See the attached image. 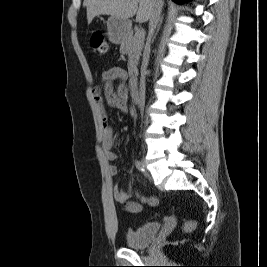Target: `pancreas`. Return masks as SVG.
<instances>
[{
  "mask_svg": "<svg viewBox=\"0 0 267 267\" xmlns=\"http://www.w3.org/2000/svg\"><path fill=\"white\" fill-rule=\"evenodd\" d=\"M143 40L138 39L132 30H130L122 39L120 53L129 57L128 72L132 76L137 72V64L142 50Z\"/></svg>",
  "mask_w": 267,
  "mask_h": 267,
  "instance_id": "cf45deb5",
  "label": "pancreas"
}]
</instances>
